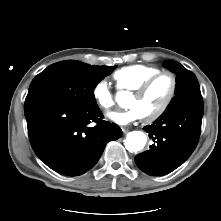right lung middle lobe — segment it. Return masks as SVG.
Masks as SVG:
<instances>
[{
  "label": "right lung middle lobe",
  "mask_w": 221,
  "mask_h": 221,
  "mask_svg": "<svg viewBox=\"0 0 221 221\" xmlns=\"http://www.w3.org/2000/svg\"><path fill=\"white\" fill-rule=\"evenodd\" d=\"M113 70L76 60L54 63L32 80L25 102L52 100L78 108L97 107L94 89Z\"/></svg>",
  "instance_id": "right-lung-middle-lobe-1"
}]
</instances>
